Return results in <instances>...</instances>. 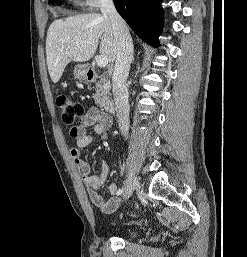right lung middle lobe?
I'll use <instances>...</instances> for the list:
<instances>
[{"mask_svg": "<svg viewBox=\"0 0 247 257\" xmlns=\"http://www.w3.org/2000/svg\"><path fill=\"white\" fill-rule=\"evenodd\" d=\"M57 0H51V3L53 4L54 2H56Z\"/></svg>", "mask_w": 247, "mask_h": 257, "instance_id": "obj_1", "label": "right lung middle lobe"}]
</instances>
